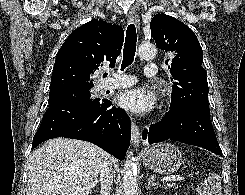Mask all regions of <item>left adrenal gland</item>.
<instances>
[{
    "instance_id": "obj_1",
    "label": "left adrenal gland",
    "mask_w": 245,
    "mask_h": 195,
    "mask_svg": "<svg viewBox=\"0 0 245 195\" xmlns=\"http://www.w3.org/2000/svg\"><path fill=\"white\" fill-rule=\"evenodd\" d=\"M147 181H148V184H147V187L146 189H150L152 186H161L158 182H154L152 181L148 176H147Z\"/></svg>"
}]
</instances>
